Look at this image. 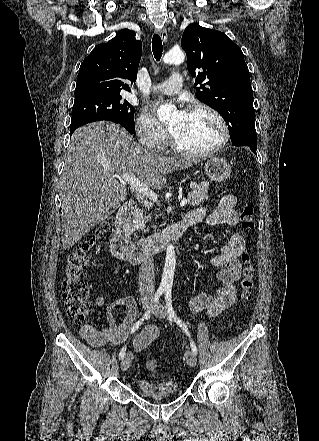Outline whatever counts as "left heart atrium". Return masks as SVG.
Segmentation results:
<instances>
[{
	"mask_svg": "<svg viewBox=\"0 0 319 441\" xmlns=\"http://www.w3.org/2000/svg\"><path fill=\"white\" fill-rule=\"evenodd\" d=\"M183 114H184L183 111H179V112L177 113V117H181ZM170 130H171V127H170Z\"/></svg>",
	"mask_w": 319,
	"mask_h": 441,
	"instance_id": "obj_1",
	"label": "left heart atrium"
}]
</instances>
